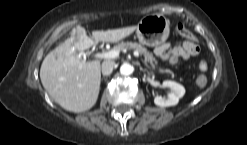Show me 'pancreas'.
Here are the masks:
<instances>
[{
    "mask_svg": "<svg viewBox=\"0 0 247 145\" xmlns=\"http://www.w3.org/2000/svg\"><path fill=\"white\" fill-rule=\"evenodd\" d=\"M113 50L124 51V50H135L144 56L145 62L150 63L151 67L155 69L157 67L158 61L154 58L153 54L150 53L144 46L136 42H121L114 46ZM160 73H170L169 70L159 68Z\"/></svg>",
    "mask_w": 247,
    "mask_h": 145,
    "instance_id": "obj_1",
    "label": "pancreas"
}]
</instances>
